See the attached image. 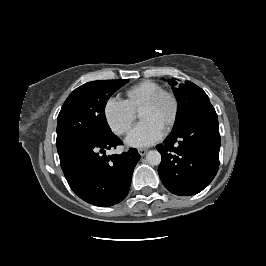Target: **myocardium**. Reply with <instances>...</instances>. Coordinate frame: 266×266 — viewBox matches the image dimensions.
I'll return each mask as SVG.
<instances>
[{
    "instance_id": "1",
    "label": "myocardium",
    "mask_w": 266,
    "mask_h": 266,
    "mask_svg": "<svg viewBox=\"0 0 266 266\" xmlns=\"http://www.w3.org/2000/svg\"><path fill=\"white\" fill-rule=\"evenodd\" d=\"M164 99H169L171 101V103H172V113H171L169 119L167 120V122L164 125L165 127L169 128V127L174 125V123L177 120L178 113H179V101H178L177 96L173 92L167 91V90H162V91L158 92L157 94L152 96L143 105L142 108L158 105Z\"/></svg>"
}]
</instances>
